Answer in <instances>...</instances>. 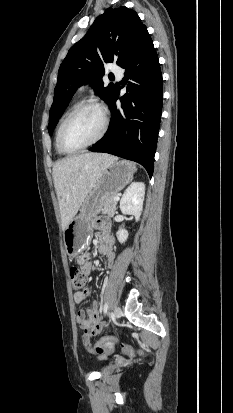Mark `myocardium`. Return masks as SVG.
<instances>
[{"label": "myocardium", "mask_w": 233, "mask_h": 413, "mask_svg": "<svg viewBox=\"0 0 233 413\" xmlns=\"http://www.w3.org/2000/svg\"><path fill=\"white\" fill-rule=\"evenodd\" d=\"M87 107H94L97 108L101 111L102 113V118H103V123H102V128L100 133L98 134V136L92 140L91 142L77 147V148H69L66 146L65 142H64V132L68 126V124L71 122V120L84 108ZM108 126H109V118L107 115L106 110L104 109V107L96 102V101H91V100H86V101H82L80 103H78L70 112L69 114L66 116V118L64 119V121L62 122L59 132H58V145L59 148L61 149V151L63 153L66 154H73L79 151H82L84 149H87L91 146H93L94 144L98 143L106 134L107 130H108Z\"/></svg>", "instance_id": "obj_1"}]
</instances>
